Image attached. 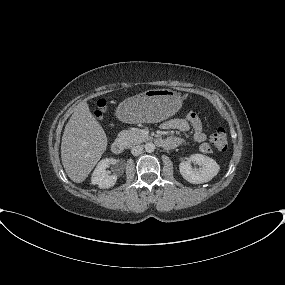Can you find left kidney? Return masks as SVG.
<instances>
[{"mask_svg": "<svg viewBox=\"0 0 285 285\" xmlns=\"http://www.w3.org/2000/svg\"><path fill=\"white\" fill-rule=\"evenodd\" d=\"M190 160L196 162L201 167L193 169L189 161H182L179 164V170L182 177L192 184H201L209 182L219 172V165L217 162L202 154H193Z\"/></svg>", "mask_w": 285, "mask_h": 285, "instance_id": "5707ae66", "label": "left kidney"}]
</instances>
